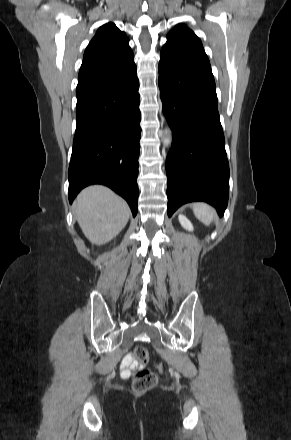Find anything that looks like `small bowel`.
<instances>
[{
    "label": "small bowel",
    "instance_id": "small-bowel-1",
    "mask_svg": "<svg viewBox=\"0 0 291 440\" xmlns=\"http://www.w3.org/2000/svg\"><path fill=\"white\" fill-rule=\"evenodd\" d=\"M142 367L143 365L140 364L135 358V356L131 353L126 354L121 361V370L122 373L125 375L130 374L134 370Z\"/></svg>",
    "mask_w": 291,
    "mask_h": 440
}]
</instances>
